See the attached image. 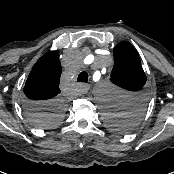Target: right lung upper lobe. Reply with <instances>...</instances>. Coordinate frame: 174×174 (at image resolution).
I'll return each instance as SVG.
<instances>
[{"label":"right lung upper lobe","instance_id":"right-lung-upper-lobe-1","mask_svg":"<svg viewBox=\"0 0 174 174\" xmlns=\"http://www.w3.org/2000/svg\"><path fill=\"white\" fill-rule=\"evenodd\" d=\"M58 57V51H49L33 66L23 89L32 105L59 100L61 65Z\"/></svg>","mask_w":174,"mask_h":174}]
</instances>
